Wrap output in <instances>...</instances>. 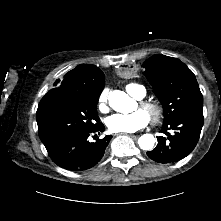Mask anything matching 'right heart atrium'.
Masks as SVG:
<instances>
[{
  "label": "right heart atrium",
  "mask_w": 221,
  "mask_h": 221,
  "mask_svg": "<svg viewBox=\"0 0 221 221\" xmlns=\"http://www.w3.org/2000/svg\"><path fill=\"white\" fill-rule=\"evenodd\" d=\"M98 108L102 112L108 109V89H103L98 96Z\"/></svg>",
  "instance_id": "obj_1"
}]
</instances>
